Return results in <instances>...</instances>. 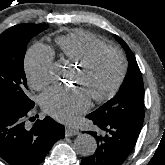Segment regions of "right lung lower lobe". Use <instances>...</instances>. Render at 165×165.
<instances>
[{
	"label": "right lung lower lobe",
	"instance_id": "1",
	"mask_svg": "<svg viewBox=\"0 0 165 165\" xmlns=\"http://www.w3.org/2000/svg\"><path fill=\"white\" fill-rule=\"evenodd\" d=\"M32 108L0 105V157L10 165H39L65 136L64 126L49 116L28 130L25 116Z\"/></svg>",
	"mask_w": 165,
	"mask_h": 165
}]
</instances>
